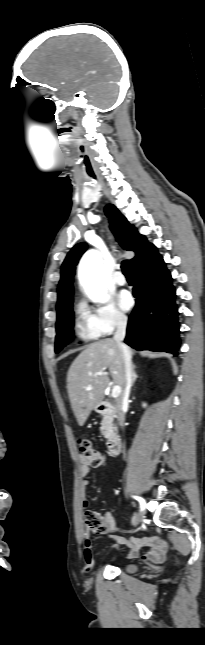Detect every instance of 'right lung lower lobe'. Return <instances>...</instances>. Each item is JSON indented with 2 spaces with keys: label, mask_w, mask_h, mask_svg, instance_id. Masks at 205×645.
I'll return each instance as SVG.
<instances>
[{
  "label": "right lung lower lobe",
  "mask_w": 205,
  "mask_h": 645,
  "mask_svg": "<svg viewBox=\"0 0 205 645\" xmlns=\"http://www.w3.org/2000/svg\"><path fill=\"white\" fill-rule=\"evenodd\" d=\"M136 306L125 343L137 350L166 351L175 356L180 344L176 290L163 258L158 254L134 268Z\"/></svg>",
  "instance_id": "1"
}]
</instances>
